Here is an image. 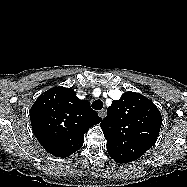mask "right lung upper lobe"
Segmentation results:
<instances>
[{
    "mask_svg": "<svg viewBox=\"0 0 187 187\" xmlns=\"http://www.w3.org/2000/svg\"><path fill=\"white\" fill-rule=\"evenodd\" d=\"M33 133L50 154L68 157L81 148L84 134L101 118L72 88L53 87L30 110Z\"/></svg>",
    "mask_w": 187,
    "mask_h": 187,
    "instance_id": "obj_1",
    "label": "right lung upper lobe"
}]
</instances>
